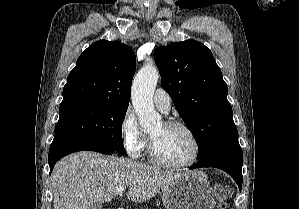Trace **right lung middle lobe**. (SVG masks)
Returning <instances> with one entry per match:
<instances>
[{
	"mask_svg": "<svg viewBox=\"0 0 299 209\" xmlns=\"http://www.w3.org/2000/svg\"><path fill=\"white\" fill-rule=\"evenodd\" d=\"M127 108L102 103L60 105L55 136L102 142L124 154L122 123Z\"/></svg>",
	"mask_w": 299,
	"mask_h": 209,
	"instance_id": "1",
	"label": "right lung middle lobe"
}]
</instances>
